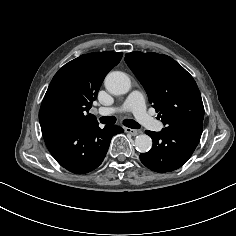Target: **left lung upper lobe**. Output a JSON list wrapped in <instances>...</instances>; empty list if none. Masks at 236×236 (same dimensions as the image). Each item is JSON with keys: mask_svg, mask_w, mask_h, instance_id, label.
Masks as SVG:
<instances>
[{"mask_svg": "<svg viewBox=\"0 0 236 236\" xmlns=\"http://www.w3.org/2000/svg\"><path fill=\"white\" fill-rule=\"evenodd\" d=\"M125 61L148 94L165 128L202 126L204 107L193 77L169 56L139 51Z\"/></svg>", "mask_w": 236, "mask_h": 236, "instance_id": "1", "label": "left lung upper lobe"}]
</instances>
